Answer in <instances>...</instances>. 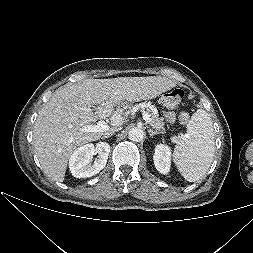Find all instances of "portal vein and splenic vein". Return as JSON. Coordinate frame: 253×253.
<instances>
[{"label": "portal vein and splenic vein", "mask_w": 253, "mask_h": 253, "mask_svg": "<svg viewBox=\"0 0 253 253\" xmlns=\"http://www.w3.org/2000/svg\"><path fill=\"white\" fill-rule=\"evenodd\" d=\"M117 117L116 115H114V118ZM143 119L149 123L150 122V116L148 115V113H143ZM109 129L108 124L101 120L98 121L97 125H85L83 126L80 130L82 132H105ZM171 140L173 142H176V137H172Z\"/></svg>", "instance_id": "1"}]
</instances>
